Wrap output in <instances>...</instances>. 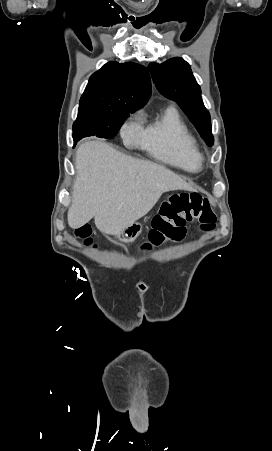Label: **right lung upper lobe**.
<instances>
[{"label": "right lung upper lobe", "mask_w": 272, "mask_h": 451, "mask_svg": "<svg viewBox=\"0 0 272 451\" xmlns=\"http://www.w3.org/2000/svg\"><path fill=\"white\" fill-rule=\"evenodd\" d=\"M151 94L145 67L127 62H109L95 72L81 96L80 106L139 108Z\"/></svg>", "instance_id": "right-lung-upper-lobe-1"}]
</instances>
